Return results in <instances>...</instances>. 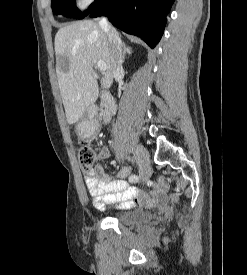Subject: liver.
Here are the masks:
<instances>
[{
	"instance_id": "1",
	"label": "liver",
	"mask_w": 247,
	"mask_h": 275,
	"mask_svg": "<svg viewBox=\"0 0 247 275\" xmlns=\"http://www.w3.org/2000/svg\"><path fill=\"white\" fill-rule=\"evenodd\" d=\"M56 73L67 122L76 123L96 101L99 88L94 67L103 61L106 72L101 86L113 82L111 52L106 32L94 21H78L58 30L55 35ZM65 62V67L62 62Z\"/></svg>"
}]
</instances>
